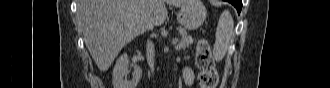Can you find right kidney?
I'll return each instance as SVG.
<instances>
[{"mask_svg": "<svg viewBox=\"0 0 330 88\" xmlns=\"http://www.w3.org/2000/svg\"><path fill=\"white\" fill-rule=\"evenodd\" d=\"M129 73V59L127 53L121 55L114 66L112 84L114 88H136L142 75V69L138 65L133 66V78L125 79Z\"/></svg>", "mask_w": 330, "mask_h": 88, "instance_id": "obj_1", "label": "right kidney"}]
</instances>
